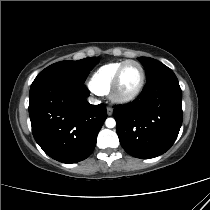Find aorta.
Here are the masks:
<instances>
[{
  "label": "aorta",
  "mask_w": 210,
  "mask_h": 210,
  "mask_svg": "<svg viewBox=\"0 0 210 210\" xmlns=\"http://www.w3.org/2000/svg\"><path fill=\"white\" fill-rule=\"evenodd\" d=\"M105 124L108 128H114L116 126V121L113 118H107Z\"/></svg>",
  "instance_id": "762f6f07"
}]
</instances>
